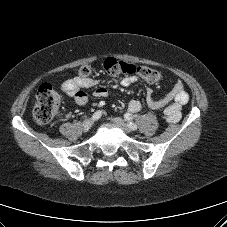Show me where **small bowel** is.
Wrapping results in <instances>:
<instances>
[{"instance_id":"c3829d8e","label":"small bowel","mask_w":227,"mask_h":227,"mask_svg":"<svg viewBox=\"0 0 227 227\" xmlns=\"http://www.w3.org/2000/svg\"><path fill=\"white\" fill-rule=\"evenodd\" d=\"M137 81L134 75L122 78L121 84L124 87L131 86ZM94 88L93 95L96 98H104L108 95L104 87L99 86V81L94 78H80L66 80L61 85L62 91L69 97L74 98L78 105H85L88 96L84 89ZM189 95L184 89L182 82L178 81L173 88L163 97H156L151 88L146 91L147 105L152 110L164 108V118L169 123H177L181 119L182 107L188 102ZM143 106L138 100H131L127 105V113L132 116L142 110Z\"/></svg>"}]
</instances>
